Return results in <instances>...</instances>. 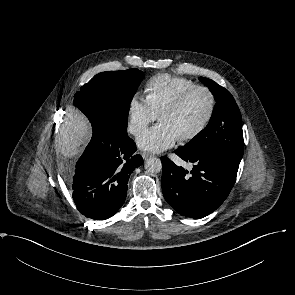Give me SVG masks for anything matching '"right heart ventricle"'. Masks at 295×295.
<instances>
[{
    "label": "right heart ventricle",
    "instance_id": "right-heart-ventricle-1",
    "mask_svg": "<svg viewBox=\"0 0 295 295\" xmlns=\"http://www.w3.org/2000/svg\"><path fill=\"white\" fill-rule=\"evenodd\" d=\"M194 85L193 80L185 77L158 74L151 77L146 83V99L158 116L184 91Z\"/></svg>",
    "mask_w": 295,
    "mask_h": 295
}]
</instances>
